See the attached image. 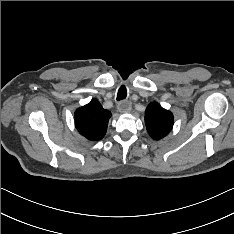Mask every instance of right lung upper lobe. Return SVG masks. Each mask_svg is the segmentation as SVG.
<instances>
[{"instance_id": "1", "label": "right lung upper lobe", "mask_w": 234, "mask_h": 234, "mask_svg": "<svg viewBox=\"0 0 234 234\" xmlns=\"http://www.w3.org/2000/svg\"><path fill=\"white\" fill-rule=\"evenodd\" d=\"M111 112L93 99L75 112V126L79 133L91 141L102 139L107 131Z\"/></svg>"}]
</instances>
